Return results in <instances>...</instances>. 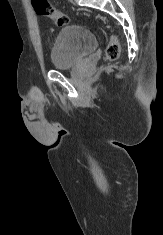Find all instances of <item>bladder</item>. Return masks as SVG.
I'll return each instance as SVG.
<instances>
[{"mask_svg": "<svg viewBox=\"0 0 163 235\" xmlns=\"http://www.w3.org/2000/svg\"><path fill=\"white\" fill-rule=\"evenodd\" d=\"M96 35L86 27L73 24L64 27L51 48L54 69H69L78 65L97 47Z\"/></svg>", "mask_w": 163, "mask_h": 235, "instance_id": "1", "label": "bladder"}]
</instances>
